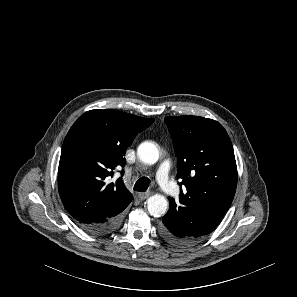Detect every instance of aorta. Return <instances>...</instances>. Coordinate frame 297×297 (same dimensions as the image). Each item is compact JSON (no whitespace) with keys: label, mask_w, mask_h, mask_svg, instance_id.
<instances>
[{"label":"aorta","mask_w":297,"mask_h":297,"mask_svg":"<svg viewBox=\"0 0 297 297\" xmlns=\"http://www.w3.org/2000/svg\"><path fill=\"white\" fill-rule=\"evenodd\" d=\"M137 155L142 162L147 164H154L159 158L158 149L151 142L141 143L137 149ZM167 208V199L160 194H155L147 200L148 212L153 217L163 216L167 212Z\"/></svg>","instance_id":"aorta-1"}]
</instances>
